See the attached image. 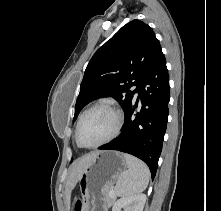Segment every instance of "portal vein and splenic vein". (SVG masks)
<instances>
[{
	"label": "portal vein and splenic vein",
	"instance_id": "portal-vein-and-splenic-vein-1",
	"mask_svg": "<svg viewBox=\"0 0 221 211\" xmlns=\"http://www.w3.org/2000/svg\"><path fill=\"white\" fill-rule=\"evenodd\" d=\"M109 195H110L111 197H114V196H115V191L112 189V190L109 192Z\"/></svg>",
	"mask_w": 221,
	"mask_h": 211
}]
</instances>
